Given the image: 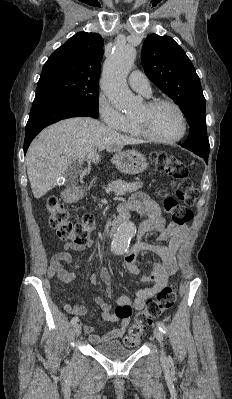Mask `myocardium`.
<instances>
[{"label": "myocardium", "instance_id": "1", "mask_svg": "<svg viewBox=\"0 0 232 399\" xmlns=\"http://www.w3.org/2000/svg\"><path fill=\"white\" fill-rule=\"evenodd\" d=\"M160 105H170L177 110V112L179 113V116L181 118V122H182V130H181L180 134L174 138H169V139L157 138L147 131V129L145 128V126L141 120L133 118V122L135 124V127H136L138 133L140 134V136L143 139L153 142V143L171 144V143L180 141L181 139L184 138V136L186 135V132H187V119H186L183 109L175 102L170 101V100H164V99L150 100V101H147L144 103V106L147 110H152Z\"/></svg>", "mask_w": 232, "mask_h": 399}]
</instances>
